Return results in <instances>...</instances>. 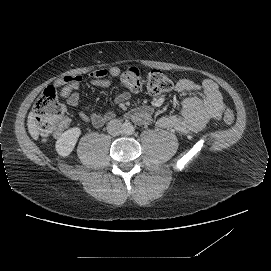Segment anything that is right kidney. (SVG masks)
Here are the masks:
<instances>
[{
  "instance_id": "ca27d5eb",
  "label": "right kidney",
  "mask_w": 271,
  "mask_h": 271,
  "mask_svg": "<svg viewBox=\"0 0 271 271\" xmlns=\"http://www.w3.org/2000/svg\"><path fill=\"white\" fill-rule=\"evenodd\" d=\"M81 134L78 127L66 130L56 141V151L60 156H68L74 149L75 144Z\"/></svg>"
}]
</instances>
